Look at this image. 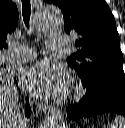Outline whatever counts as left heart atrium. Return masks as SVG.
<instances>
[{
    "label": "left heart atrium",
    "mask_w": 125,
    "mask_h": 128,
    "mask_svg": "<svg viewBox=\"0 0 125 128\" xmlns=\"http://www.w3.org/2000/svg\"><path fill=\"white\" fill-rule=\"evenodd\" d=\"M20 82L30 95L38 98L58 96L68 85L65 71L46 61L25 69L21 74Z\"/></svg>",
    "instance_id": "obj_1"
}]
</instances>
